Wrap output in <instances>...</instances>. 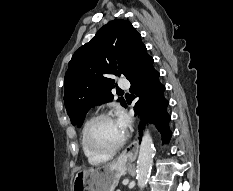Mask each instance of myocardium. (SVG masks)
I'll return each instance as SVG.
<instances>
[{"mask_svg":"<svg viewBox=\"0 0 233 191\" xmlns=\"http://www.w3.org/2000/svg\"><path fill=\"white\" fill-rule=\"evenodd\" d=\"M103 119H113V117L108 113H101V114L94 116L93 118L89 120L85 128V132H84V143H85L87 150L91 154L100 156V157H110L114 155L115 153H117L124 146L127 136L126 134H124L122 140L116 146L108 150H103V149H100L94 146L91 141V133H92L94 126Z\"/></svg>","mask_w":233,"mask_h":191,"instance_id":"f54148a6","label":"myocardium"}]
</instances>
